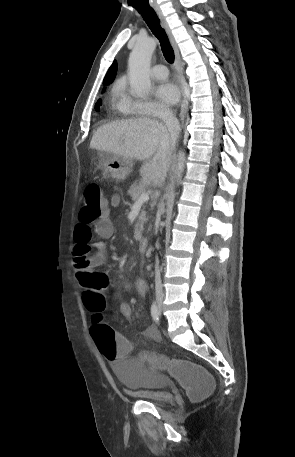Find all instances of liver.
I'll list each match as a JSON object with an SVG mask.
<instances>
[{"label": "liver", "mask_w": 295, "mask_h": 457, "mask_svg": "<svg viewBox=\"0 0 295 457\" xmlns=\"http://www.w3.org/2000/svg\"><path fill=\"white\" fill-rule=\"evenodd\" d=\"M174 145L166 126L149 118L105 124L97 129L90 142L91 149L143 161L142 179L154 187H161L165 181Z\"/></svg>", "instance_id": "obj_1"}]
</instances>
